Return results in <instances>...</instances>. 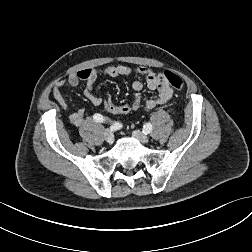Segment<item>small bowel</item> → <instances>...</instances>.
I'll return each mask as SVG.
<instances>
[{
	"label": "small bowel",
	"mask_w": 252,
	"mask_h": 252,
	"mask_svg": "<svg viewBox=\"0 0 252 252\" xmlns=\"http://www.w3.org/2000/svg\"><path fill=\"white\" fill-rule=\"evenodd\" d=\"M104 76L110 78H116L119 76H130V75H139L143 76L146 81V85L149 89L154 90L157 94L144 103V109L151 111L156 107L167 105L173 95V90L168 82L164 79L163 73L155 71L151 67H139L132 69L125 65H110L104 72ZM99 74L96 69L87 68L82 69L76 73H73L68 76L66 80L58 82L53 90L52 96L54 100L64 109H68V103L62 94V89L66 84L71 87H77L81 81L86 82V85L83 89L85 97L90 101V103L96 107L100 108L102 105V99L94 94L93 85L97 81ZM143 84L139 79H135L132 83V97L141 96L140 92L142 90ZM85 110L83 108L72 113L69 117V121L74 126H80L84 121Z\"/></svg>",
	"instance_id": "small-bowel-1"
}]
</instances>
